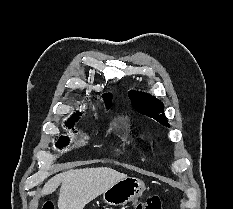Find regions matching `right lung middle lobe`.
Segmentation results:
<instances>
[{"label": "right lung middle lobe", "mask_w": 233, "mask_h": 209, "mask_svg": "<svg viewBox=\"0 0 233 209\" xmlns=\"http://www.w3.org/2000/svg\"><path fill=\"white\" fill-rule=\"evenodd\" d=\"M81 114H74V116H72L70 118V120L67 122L68 127H72L74 125V123L78 120L79 116ZM68 143V139L65 137H60L58 142H57V146L58 147H63L64 145H66Z\"/></svg>", "instance_id": "obj_1"}]
</instances>
